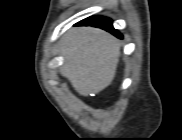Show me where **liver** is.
<instances>
[{
	"label": "liver",
	"mask_w": 182,
	"mask_h": 140,
	"mask_svg": "<svg viewBox=\"0 0 182 140\" xmlns=\"http://www.w3.org/2000/svg\"><path fill=\"white\" fill-rule=\"evenodd\" d=\"M119 45L109 33L92 27L68 31L62 42V76L82 96L97 94L108 87L116 72Z\"/></svg>",
	"instance_id": "liver-1"
}]
</instances>
